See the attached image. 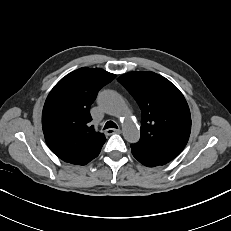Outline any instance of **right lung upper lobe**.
Returning <instances> with one entry per match:
<instances>
[{
	"mask_svg": "<svg viewBox=\"0 0 231 231\" xmlns=\"http://www.w3.org/2000/svg\"><path fill=\"white\" fill-rule=\"evenodd\" d=\"M116 77L103 69L83 67L62 78L49 93L42 112L45 141L65 162L85 165L106 141L90 124V106L98 91Z\"/></svg>",
	"mask_w": 231,
	"mask_h": 231,
	"instance_id": "obj_1",
	"label": "right lung upper lobe"
}]
</instances>
